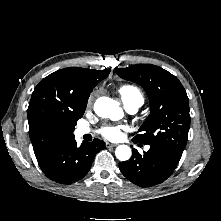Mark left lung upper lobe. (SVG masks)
<instances>
[{
    "label": "left lung upper lobe",
    "instance_id": "1",
    "mask_svg": "<svg viewBox=\"0 0 221 221\" xmlns=\"http://www.w3.org/2000/svg\"><path fill=\"white\" fill-rule=\"evenodd\" d=\"M123 79L139 84L150 100L151 113L135 136L142 144L159 145L182 154L190 127L189 101L180 81L168 71L151 64L118 68Z\"/></svg>",
    "mask_w": 221,
    "mask_h": 221
}]
</instances>
